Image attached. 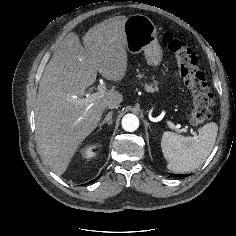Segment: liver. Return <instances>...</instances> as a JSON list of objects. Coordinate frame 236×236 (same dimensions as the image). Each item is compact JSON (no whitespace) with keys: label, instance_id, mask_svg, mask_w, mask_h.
<instances>
[{"label":"liver","instance_id":"liver-1","mask_svg":"<svg viewBox=\"0 0 236 236\" xmlns=\"http://www.w3.org/2000/svg\"><path fill=\"white\" fill-rule=\"evenodd\" d=\"M126 16L109 18L91 27L83 38L69 33L47 64L41 78L35 122L39 148L47 164L62 175L82 141L97 127L108 103L123 96L110 89L94 103H78L96 80L97 72L111 81L127 72Z\"/></svg>","mask_w":236,"mask_h":236}]
</instances>
